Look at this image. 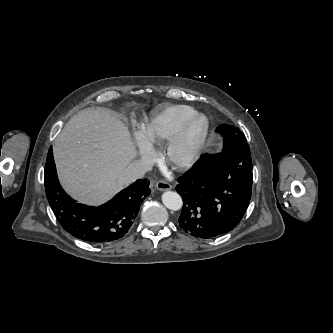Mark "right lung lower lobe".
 Masks as SVG:
<instances>
[{
	"mask_svg": "<svg viewBox=\"0 0 333 333\" xmlns=\"http://www.w3.org/2000/svg\"><path fill=\"white\" fill-rule=\"evenodd\" d=\"M44 183L48 202L61 226L72 236L89 243H108L122 238L151 193L148 179H139L104 205L77 203L59 184L52 149L45 165Z\"/></svg>",
	"mask_w": 333,
	"mask_h": 333,
	"instance_id": "1",
	"label": "right lung lower lobe"
}]
</instances>
